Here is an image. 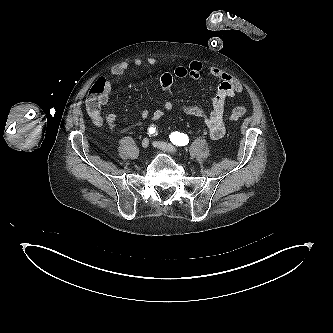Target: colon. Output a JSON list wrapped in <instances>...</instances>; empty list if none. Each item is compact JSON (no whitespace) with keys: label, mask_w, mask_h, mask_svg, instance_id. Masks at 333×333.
<instances>
[{"label":"colon","mask_w":333,"mask_h":333,"mask_svg":"<svg viewBox=\"0 0 333 333\" xmlns=\"http://www.w3.org/2000/svg\"><path fill=\"white\" fill-rule=\"evenodd\" d=\"M104 93H105L104 79L100 78L94 83V85L90 89L86 100V109L89 116L92 119L102 116L101 112L103 106ZM246 113L247 110L245 107L238 106L231 110L229 117L231 120H238L244 117Z\"/></svg>","instance_id":"1"}]
</instances>
